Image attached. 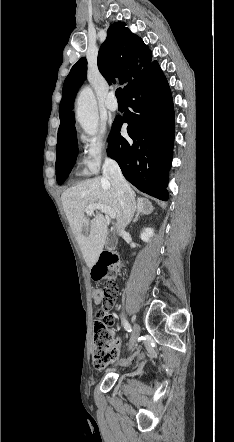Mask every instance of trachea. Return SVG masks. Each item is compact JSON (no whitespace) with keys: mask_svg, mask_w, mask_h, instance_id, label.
<instances>
[{"mask_svg":"<svg viewBox=\"0 0 234 442\" xmlns=\"http://www.w3.org/2000/svg\"><path fill=\"white\" fill-rule=\"evenodd\" d=\"M116 98L118 99V100H123V93H122V88H118L117 90H116Z\"/></svg>","mask_w":234,"mask_h":442,"instance_id":"3493384b","label":"trachea"}]
</instances>
